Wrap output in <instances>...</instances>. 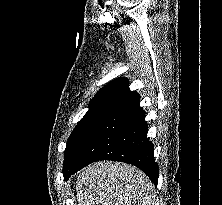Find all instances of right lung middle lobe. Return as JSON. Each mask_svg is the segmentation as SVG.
I'll list each match as a JSON object with an SVG mask.
<instances>
[{
  "label": "right lung middle lobe",
  "instance_id": "right-lung-middle-lobe-1",
  "mask_svg": "<svg viewBox=\"0 0 222 205\" xmlns=\"http://www.w3.org/2000/svg\"><path fill=\"white\" fill-rule=\"evenodd\" d=\"M106 114L107 112L105 111L86 113L85 116L78 122L67 142L64 153L65 158L63 171L71 165L89 134Z\"/></svg>",
  "mask_w": 222,
  "mask_h": 205
}]
</instances>
